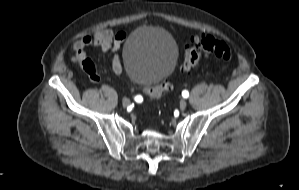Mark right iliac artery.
I'll return each mask as SVG.
<instances>
[{
  "label": "right iliac artery",
  "mask_w": 299,
  "mask_h": 190,
  "mask_svg": "<svg viewBox=\"0 0 299 190\" xmlns=\"http://www.w3.org/2000/svg\"><path fill=\"white\" fill-rule=\"evenodd\" d=\"M142 96H140V95H137V96H135V101H142Z\"/></svg>",
  "instance_id": "1"
}]
</instances>
